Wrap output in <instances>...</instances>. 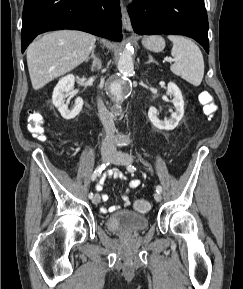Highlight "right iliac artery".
I'll list each match as a JSON object with an SVG mask.
<instances>
[{"mask_svg":"<svg viewBox=\"0 0 243 289\" xmlns=\"http://www.w3.org/2000/svg\"><path fill=\"white\" fill-rule=\"evenodd\" d=\"M108 165H109V163L102 164V165L98 166V167L94 170V172H93V174H92V176H91V180L94 181V180L101 174V172L106 168V166H108ZM89 198H90V199L93 198V193H92V192L89 194Z\"/></svg>","mask_w":243,"mask_h":289,"instance_id":"right-iliac-artery-1","label":"right iliac artery"}]
</instances>
